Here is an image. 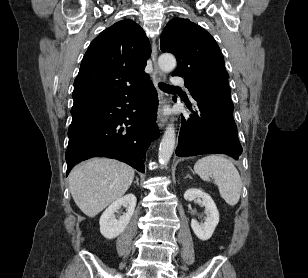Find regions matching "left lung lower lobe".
Wrapping results in <instances>:
<instances>
[{
	"label": "left lung lower lobe",
	"mask_w": 308,
	"mask_h": 278,
	"mask_svg": "<svg viewBox=\"0 0 308 278\" xmlns=\"http://www.w3.org/2000/svg\"><path fill=\"white\" fill-rule=\"evenodd\" d=\"M191 96L197 106L189 117L182 116L176 155L222 153L238 159L242 147L233 118L234 105L228 81L209 84L192 92ZM188 108L192 109V105Z\"/></svg>",
	"instance_id": "1"
}]
</instances>
